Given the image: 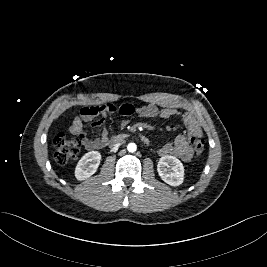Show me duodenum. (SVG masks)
Here are the masks:
<instances>
[{
	"label": "duodenum",
	"instance_id": "duodenum-1",
	"mask_svg": "<svg viewBox=\"0 0 267 267\" xmlns=\"http://www.w3.org/2000/svg\"><path fill=\"white\" fill-rule=\"evenodd\" d=\"M137 136L143 143L147 144L149 142V139L145 135L139 134ZM125 138L126 135H118L111 140V145L115 147L116 145L120 144Z\"/></svg>",
	"mask_w": 267,
	"mask_h": 267
}]
</instances>
